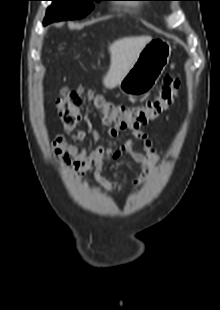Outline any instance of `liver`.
I'll return each instance as SVG.
<instances>
[{"label": "liver", "mask_w": 220, "mask_h": 310, "mask_svg": "<svg viewBox=\"0 0 220 310\" xmlns=\"http://www.w3.org/2000/svg\"><path fill=\"white\" fill-rule=\"evenodd\" d=\"M151 39L150 36L125 37L109 46L110 68L103 79L106 88H114L119 84Z\"/></svg>", "instance_id": "liver-1"}]
</instances>
